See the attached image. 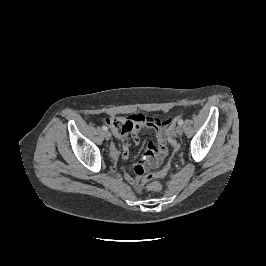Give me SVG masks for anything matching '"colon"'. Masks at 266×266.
<instances>
[{
  "mask_svg": "<svg viewBox=\"0 0 266 266\" xmlns=\"http://www.w3.org/2000/svg\"><path fill=\"white\" fill-rule=\"evenodd\" d=\"M166 136H167V140H168L169 144L171 145L173 151L176 152L179 149V144L175 138L173 124L168 127L167 132H166ZM169 168H170V163H168L160 171L151 172V173L146 174L142 180L143 184L146 185V188L149 191H153V192L161 191L162 185L156 180L163 178L167 174V172L169 171Z\"/></svg>",
  "mask_w": 266,
  "mask_h": 266,
  "instance_id": "1",
  "label": "colon"
}]
</instances>
